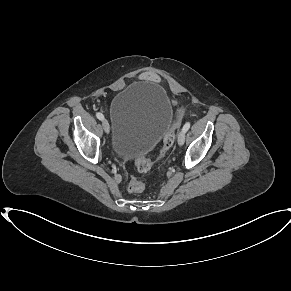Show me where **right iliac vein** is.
Listing matches in <instances>:
<instances>
[{"instance_id":"obj_1","label":"right iliac vein","mask_w":291,"mask_h":291,"mask_svg":"<svg viewBox=\"0 0 291 291\" xmlns=\"http://www.w3.org/2000/svg\"><path fill=\"white\" fill-rule=\"evenodd\" d=\"M102 125H103V128H104V131L108 134L110 132V126H109V123L106 119H103L102 120Z\"/></svg>"}]
</instances>
